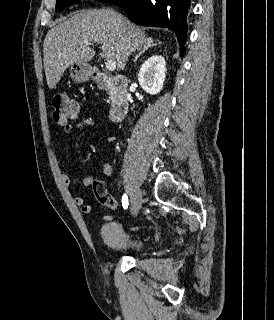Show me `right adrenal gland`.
<instances>
[{"label":"right adrenal gland","mask_w":274,"mask_h":320,"mask_svg":"<svg viewBox=\"0 0 274 320\" xmlns=\"http://www.w3.org/2000/svg\"><path fill=\"white\" fill-rule=\"evenodd\" d=\"M153 46H157V44H154V40H149L148 42V46L147 48H144V50H142V52H139L138 56H136L135 60H134V64H136L138 58H141V56H143V54H145V52H147V50H150V48H153Z\"/></svg>","instance_id":"1"}]
</instances>
